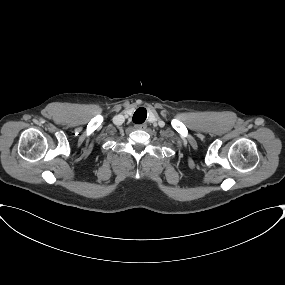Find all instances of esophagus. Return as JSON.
Returning <instances> with one entry per match:
<instances>
[{
    "mask_svg": "<svg viewBox=\"0 0 285 285\" xmlns=\"http://www.w3.org/2000/svg\"><path fill=\"white\" fill-rule=\"evenodd\" d=\"M135 129H145L146 128V124H136L135 126Z\"/></svg>",
    "mask_w": 285,
    "mask_h": 285,
    "instance_id": "34e87169",
    "label": "esophagus"
}]
</instances>
